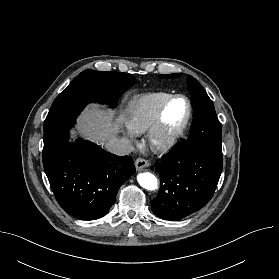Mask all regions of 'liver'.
<instances>
[{
  "mask_svg": "<svg viewBox=\"0 0 279 279\" xmlns=\"http://www.w3.org/2000/svg\"><path fill=\"white\" fill-rule=\"evenodd\" d=\"M125 121L124 113L115 116L114 112L92 104L79 117L77 127L83 137L104 146L116 139ZM72 135L75 136V133L72 132Z\"/></svg>",
  "mask_w": 279,
  "mask_h": 279,
  "instance_id": "1",
  "label": "liver"
}]
</instances>
